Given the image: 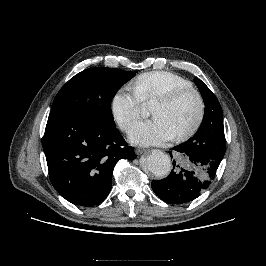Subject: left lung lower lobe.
<instances>
[{
	"label": "left lung lower lobe",
	"instance_id": "obj_1",
	"mask_svg": "<svg viewBox=\"0 0 266 266\" xmlns=\"http://www.w3.org/2000/svg\"><path fill=\"white\" fill-rule=\"evenodd\" d=\"M184 158V163L176 165L168 177L153 180L152 189L163 201L170 204H183L196 199L209 187L215 178L220 161L186 149L183 144L174 147ZM172 155V152L169 151Z\"/></svg>",
	"mask_w": 266,
	"mask_h": 266
}]
</instances>
